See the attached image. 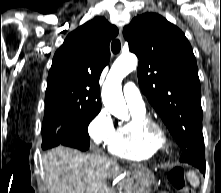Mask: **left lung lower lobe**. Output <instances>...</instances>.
I'll return each instance as SVG.
<instances>
[{
  "instance_id": "left-lung-lower-lobe-1",
  "label": "left lung lower lobe",
  "mask_w": 221,
  "mask_h": 193,
  "mask_svg": "<svg viewBox=\"0 0 221 193\" xmlns=\"http://www.w3.org/2000/svg\"><path fill=\"white\" fill-rule=\"evenodd\" d=\"M180 161L195 166L205 175L206 163L204 144L184 150L180 157Z\"/></svg>"
}]
</instances>
